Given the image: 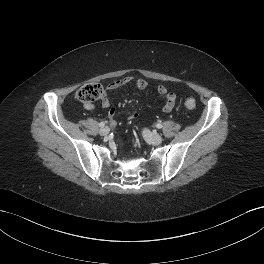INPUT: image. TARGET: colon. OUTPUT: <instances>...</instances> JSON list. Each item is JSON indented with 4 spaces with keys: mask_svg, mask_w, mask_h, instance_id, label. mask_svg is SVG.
<instances>
[{
    "mask_svg": "<svg viewBox=\"0 0 264 264\" xmlns=\"http://www.w3.org/2000/svg\"><path fill=\"white\" fill-rule=\"evenodd\" d=\"M104 95L103 86L99 83H89L82 86L77 91V98L83 103H91L99 100ZM185 106L188 109H194L196 107V101L189 98L185 101Z\"/></svg>",
    "mask_w": 264,
    "mask_h": 264,
    "instance_id": "colon-1",
    "label": "colon"
}]
</instances>
